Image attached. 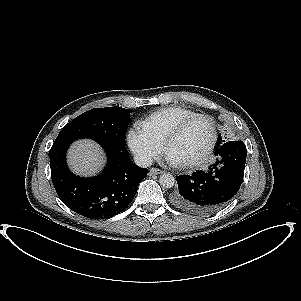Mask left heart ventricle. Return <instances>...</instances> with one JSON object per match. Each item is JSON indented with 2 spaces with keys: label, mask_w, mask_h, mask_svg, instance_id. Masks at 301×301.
<instances>
[{
  "label": "left heart ventricle",
  "mask_w": 301,
  "mask_h": 301,
  "mask_svg": "<svg viewBox=\"0 0 301 301\" xmlns=\"http://www.w3.org/2000/svg\"><path fill=\"white\" fill-rule=\"evenodd\" d=\"M211 139V127L207 121L197 120L172 143L168 152L177 156L185 163L196 160L207 149Z\"/></svg>",
  "instance_id": "obj_1"
}]
</instances>
